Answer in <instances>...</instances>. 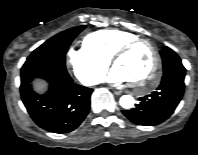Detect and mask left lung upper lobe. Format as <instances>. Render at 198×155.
<instances>
[{"instance_id": "left-lung-upper-lobe-1", "label": "left lung upper lobe", "mask_w": 198, "mask_h": 155, "mask_svg": "<svg viewBox=\"0 0 198 155\" xmlns=\"http://www.w3.org/2000/svg\"><path fill=\"white\" fill-rule=\"evenodd\" d=\"M160 54L163 60L164 74L176 68H184L179 56L169 47L165 46ZM146 116H149V114H146Z\"/></svg>"}]
</instances>
